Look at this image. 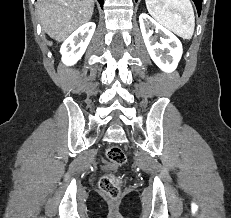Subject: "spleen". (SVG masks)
<instances>
[{
  "label": "spleen",
  "mask_w": 231,
  "mask_h": 218,
  "mask_svg": "<svg viewBox=\"0 0 231 218\" xmlns=\"http://www.w3.org/2000/svg\"><path fill=\"white\" fill-rule=\"evenodd\" d=\"M148 12L183 39H191L195 16L190 0H145Z\"/></svg>",
  "instance_id": "3e777b00"
}]
</instances>
